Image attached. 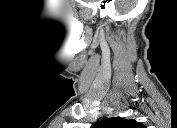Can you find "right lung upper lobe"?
Returning a JSON list of instances; mask_svg holds the SVG:
<instances>
[{"instance_id":"cb5924a9","label":"right lung upper lobe","mask_w":177,"mask_h":128,"mask_svg":"<svg viewBox=\"0 0 177 128\" xmlns=\"http://www.w3.org/2000/svg\"><path fill=\"white\" fill-rule=\"evenodd\" d=\"M98 128H144L145 126L134 119H124L119 117H112L102 120Z\"/></svg>"}]
</instances>
